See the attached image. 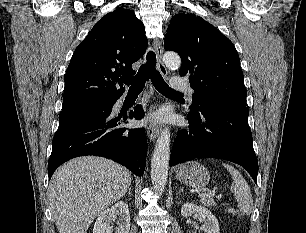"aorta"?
Segmentation results:
<instances>
[{"label":"aorta","instance_id":"aorta-1","mask_svg":"<svg viewBox=\"0 0 306 233\" xmlns=\"http://www.w3.org/2000/svg\"><path fill=\"white\" fill-rule=\"evenodd\" d=\"M163 61L165 65L172 69H179L181 66V59L177 53L167 52L164 54ZM170 158V132L169 129L161 131L157 139L152 160H151V180L156 191L162 193L165 189L168 166Z\"/></svg>","mask_w":306,"mask_h":233}]
</instances>
